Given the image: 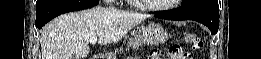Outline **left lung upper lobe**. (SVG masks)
I'll return each instance as SVG.
<instances>
[{
	"label": "left lung upper lobe",
	"instance_id": "obj_1",
	"mask_svg": "<svg viewBox=\"0 0 261 59\" xmlns=\"http://www.w3.org/2000/svg\"><path fill=\"white\" fill-rule=\"evenodd\" d=\"M197 3L214 4L218 5V0H183L182 6H188Z\"/></svg>",
	"mask_w": 261,
	"mask_h": 59
}]
</instances>
